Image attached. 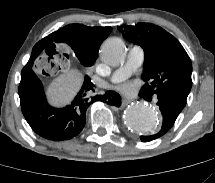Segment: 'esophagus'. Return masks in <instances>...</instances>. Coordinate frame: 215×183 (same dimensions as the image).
I'll list each match as a JSON object with an SVG mask.
<instances>
[{"instance_id":"34e87169","label":"esophagus","mask_w":215,"mask_h":183,"mask_svg":"<svg viewBox=\"0 0 215 183\" xmlns=\"http://www.w3.org/2000/svg\"><path fill=\"white\" fill-rule=\"evenodd\" d=\"M133 100L132 99H129V98H123L122 100V105L125 106L129 103H131Z\"/></svg>"}]
</instances>
